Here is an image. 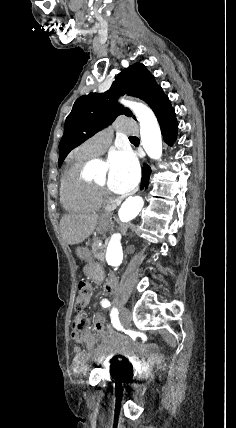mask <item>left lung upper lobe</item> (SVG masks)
Listing matches in <instances>:
<instances>
[{
	"instance_id": "1",
	"label": "left lung upper lobe",
	"mask_w": 236,
	"mask_h": 428,
	"mask_svg": "<svg viewBox=\"0 0 236 428\" xmlns=\"http://www.w3.org/2000/svg\"><path fill=\"white\" fill-rule=\"evenodd\" d=\"M124 94L143 99L155 114L170 103L162 88L155 82L154 76L143 64L130 65L117 75L111 88L105 93H90L76 100L66 118L64 134L59 143V167L72 149L111 124L117 116H132L128 108L117 102V98Z\"/></svg>"
}]
</instances>
